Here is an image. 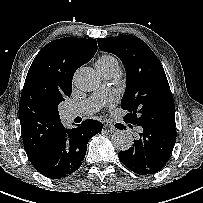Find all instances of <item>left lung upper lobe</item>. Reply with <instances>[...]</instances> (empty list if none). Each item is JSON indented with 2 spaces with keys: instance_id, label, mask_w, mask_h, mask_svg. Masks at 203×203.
I'll return each instance as SVG.
<instances>
[{
  "instance_id": "5c2ea615",
  "label": "left lung upper lobe",
  "mask_w": 203,
  "mask_h": 203,
  "mask_svg": "<svg viewBox=\"0 0 203 203\" xmlns=\"http://www.w3.org/2000/svg\"><path fill=\"white\" fill-rule=\"evenodd\" d=\"M99 49L118 56L126 69L121 108L125 123L176 128L175 105L164 69L149 46L131 35L97 39Z\"/></svg>"
}]
</instances>
